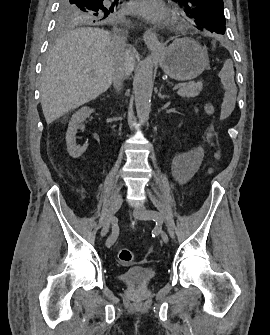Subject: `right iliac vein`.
Instances as JSON below:
<instances>
[{"mask_svg": "<svg viewBox=\"0 0 270 335\" xmlns=\"http://www.w3.org/2000/svg\"><path fill=\"white\" fill-rule=\"evenodd\" d=\"M122 195L121 194H117L113 200V203L111 205V209H110V214L107 218V221L106 223L104 224L101 232H100V235L101 237L105 236L108 231H109V228H110V225L113 221V217H114V214L120 209L121 205H122Z\"/></svg>", "mask_w": 270, "mask_h": 335, "instance_id": "right-iliac-vein-1", "label": "right iliac vein"}]
</instances>
